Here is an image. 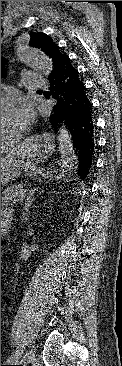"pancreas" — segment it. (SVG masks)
I'll use <instances>...</instances> for the list:
<instances>
[{"label": "pancreas", "mask_w": 122, "mask_h": 366, "mask_svg": "<svg viewBox=\"0 0 122 366\" xmlns=\"http://www.w3.org/2000/svg\"><path fill=\"white\" fill-rule=\"evenodd\" d=\"M24 193L25 189L22 184L10 185L1 193V201L5 204H9L10 201H19Z\"/></svg>", "instance_id": "pancreas-1"}]
</instances>
